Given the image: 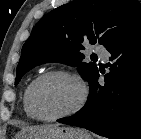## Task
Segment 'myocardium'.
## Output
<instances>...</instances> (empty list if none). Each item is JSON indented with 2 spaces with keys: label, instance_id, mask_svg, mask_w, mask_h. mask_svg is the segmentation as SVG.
I'll use <instances>...</instances> for the list:
<instances>
[{
  "label": "myocardium",
  "instance_id": "myocardium-1",
  "mask_svg": "<svg viewBox=\"0 0 141 139\" xmlns=\"http://www.w3.org/2000/svg\"><path fill=\"white\" fill-rule=\"evenodd\" d=\"M51 76H64L74 80L79 87L80 94L76 104L69 110L54 116H44V115H41L35 108L34 101H33V92L36 85L41 80ZM87 98H88V88L83 78L75 72L64 70V69L49 70L40 74L30 83L27 89V106L29 111L31 112V114L33 115L35 119L40 121H46V122L57 121V120L76 114L84 107V105L87 102Z\"/></svg>",
  "mask_w": 141,
  "mask_h": 139
}]
</instances>
